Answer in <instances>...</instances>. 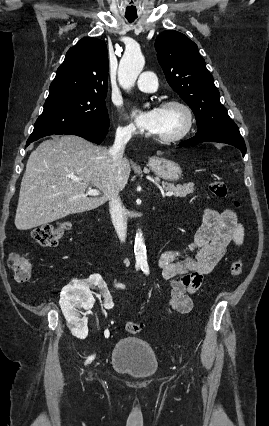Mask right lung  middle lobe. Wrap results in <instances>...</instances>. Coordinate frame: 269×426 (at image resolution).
<instances>
[{
    "label": "right lung middle lobe",
    "instance_id": "right-lung-middle-lobe-1",
    "mask_svg": "<svg viewBox=\"0 0 269 426\" xmlns=\"http://www.w3.org/2000/svg\"><path fill=\"white\" fill-rule=\"evenodd\" d=\"M106 93L58 91L49 93L43 113L28 140L65 132L81 126L108 128Z\"/></svg>",
    "mask_w": 269,
    "mask_h": 426
}]
</instances>
